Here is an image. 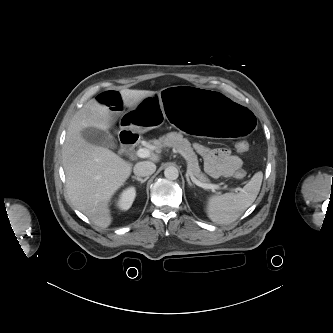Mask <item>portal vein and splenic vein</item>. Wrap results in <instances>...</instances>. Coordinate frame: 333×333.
Listing matches in <instances>:
<instances>
[{"instance_id":"obj_1","label":"portal vein and splenic vein","mask_w":333,"mask_h":333,"mask_svg":"<svg viewBox=\"0 0 333 333\" xmlns=\"http://www.w3.org/2000/svg\"><path fill=\"white\" fill-rule=\"evenodd\" d=\"M137 156L140 158H147L150 156V150L146 149V148H140L137 151ZM192 181L199 187L203 188V189H210L212 191H214L215 189H219V185L216 184H208V183H204L201 182L200 180L196 179L192 174H190ZM235 192H238L240 190V188H235L233 189Z\"/></svg>"}]
</instances>
